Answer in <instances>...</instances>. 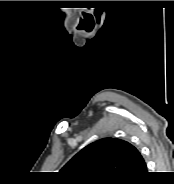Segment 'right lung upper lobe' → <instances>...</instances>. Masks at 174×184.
Here are the masks:
<instances>
[{
  "label": "right lung upper lobe",
  "mask_w": 174,
  "mask_h": 184,
  "mask_svg": "<svg viewBox=\"0 0 174 184\" xmlns=\"http://www.w3.org/2000/svg\"><path fill=\"white\" fill-rule=\"evenodd\" d=\"M147 169L139 151L117 138H103L83 148L61 170L66 180L83 184L129 181Z\"/></svg>",
  "instance_id": "right-lung-upper-lobe-1"
}]
</instances>
